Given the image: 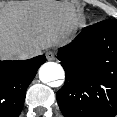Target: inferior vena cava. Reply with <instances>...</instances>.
<instances>
[{"instance_id":"inferior-vena-cava-1","label":"inferior vena cava","mask_w":117,"mask_h":117,"mask_svg":"<svg viewBox=\"0 0 117 117\" xmlns=\"http://www.w3.org/2000/svg\"><path fill=\"white\" fill-rule=\"evenodd\" d=\"M38 53L39 52L37 50L31 48V49H27L24 52H22L20 57H21V59H25V58H29V57L35 56Z\"/></svg>"}]
</instances>
